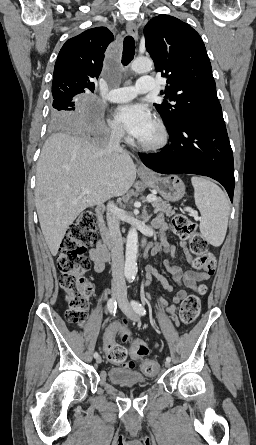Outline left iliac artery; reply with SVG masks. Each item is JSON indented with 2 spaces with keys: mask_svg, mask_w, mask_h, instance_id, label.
<instances>
[{
  "mask_svg": "<svg viewBox=\"0 0 256 445\" xmlns=\"http://www.w3.org/2000/svg\"><path fill=\"white\" fill-rule=\"evenodd\" d=\"M131 305H132V307H133V309H134V311L136 312V313H138L139 315H145L146 314V310H145V308L142 306V304L141 303H139V302H137V301H135V300H132L131 301ZM166 361H171V358L169 357V356H167V358H166Z\"/></svg>",
  "mask_w": 256,
  "mask_h": 445,
  "instance_id": "44dca946",
  "label": "left iliac artery"
}]
</instances>
